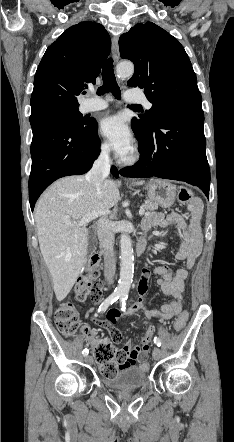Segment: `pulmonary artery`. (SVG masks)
<instances>
[{"label": "pulmonary artery", "mask_w": 234, "mask_h": 442, "mask_svg": "<svg viewBox=\"0 0 234 442\" xmlns=\"http://www.w3.org/2000/svg\"><path fill=\"white\" fill-rule=\"evenodd\" d=\"M126 102L129 103H142L147 109L151 108V103L141 95H135L132 93H127L125 95ZM108 108V103L100 98H98L94 92H91V98L87 99L83 103V110L85 112H96L102 111Z\"/></svg>", "instance_id": "1"}]
</instances>
